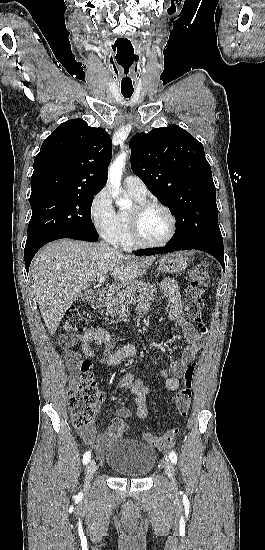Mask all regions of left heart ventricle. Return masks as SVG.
Segmentation results:
<instances>
[{
  "label": "left heart ventricle",
  "mask_w": 265,
  "mask_h": 550,
  "mask_svg": "<svg viewBox=\"0 0 265 550\" xmlns=\"http://www.w3.org/2000/svg\"><path fill=\"white\" fill-rule=\"evenodd\" d=\"M170 230V220L160 209L147 210L140 219V234L145 241L160 242Z\"/></svg>",
  "instance_id": "obj_1"
}]
</instances>
